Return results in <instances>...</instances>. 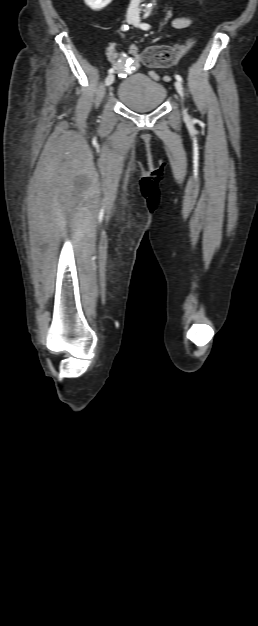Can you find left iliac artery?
<instances>
[{
  "mask_svg": "<svg viewBox=\"0 0 258 626\" xmlns=\"http://www.w3.org/2000/svg\"><path fill=\"white\" fill-rule=\"evenodd\" d=\"M148 15H149V13H146V14L144 15V18H145V17H147ZM140 27H141L143 30H148V29H150V25H149V24H147V23H142V24L140 25ZM175 78H176V80H178V81H180V82H182V81H183V80H182V77H181L180 75H178V74H176V75H175Z\"/></svg>",
  "mask_w": 258,
  "mask_h": 626,
  "instance_id": "44dca946",
  "label": "left iliac artery"
}]
</instances>
